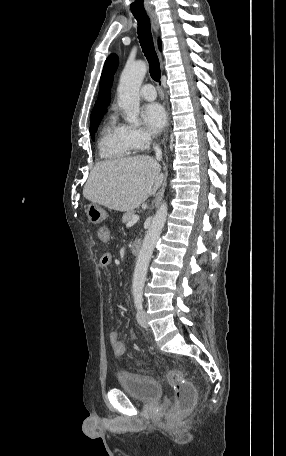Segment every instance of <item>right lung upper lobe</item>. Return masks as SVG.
<instances>
[{"label":"right lung upper lobe","mask_w":286,"mask_h":456,"mask_svg":"<svg viewBox=\"0 0 286 456\" xmlns=\"http://www.w3.org/2000/svg\"><path fill=\"white\" fill-rule=\"evenodd\" d=\"M158 44L159 49H161V42L159 41ZM117 66L118 56L116 54H111L104 64V68L100 79L98 100L96 101L94 108L92 110L91 120L103 116L106 108L110 103L111 83Z\"/></svg>","instance_id":"1"}]
</instances>
